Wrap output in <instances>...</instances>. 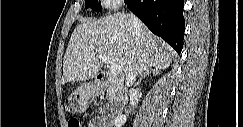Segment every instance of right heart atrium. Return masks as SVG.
<instances>
[{
	"mask_svg": "<svg viewBox=\"0 0 243 127\" xmlns=\"http://www.w3.org/2000/svg\"><path fill=\"white\" fill-rule=\"evenodd\" d=\"M105 5L110 7V8H118L123 1L122 0H105L104 1Z\"/></svg>",
	"mask_w": 243,
	"mask_h": 127,
	"instance_id": "1",
	"label": "right heart atrium"
}]
</instances>
